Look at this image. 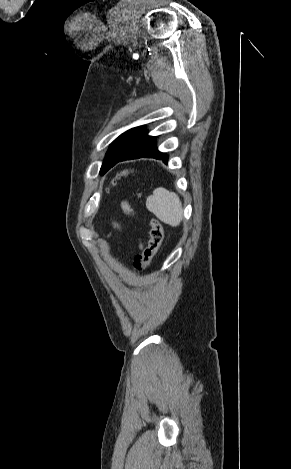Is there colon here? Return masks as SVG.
<instances>
[{"label": "colon", "mask_w": 291, "mask_h": 469, "mask_svg": "<svg viewBox=\"0 0 291 469\" xmlns=\"http://www.w3.org/2000/svg\"><path fill=\"white\" fill-rule=\"evenodd\" d=\"M128 174L127 171L120 173L116 179L124 177ZM116 180L113 181V184ZM150 239L145 250L138 254L134 259V268L137 271H144L148 268L153 258L159 252L164 241V229L162 224L156 220H151Z\"/></svg>", "instance_id": "obj_1"}]
</instances>
